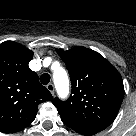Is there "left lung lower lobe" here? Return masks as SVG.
Listing matches in <instances>:
<instances>
[{
  "label": "left lung lower lobe",
  "mask_w": 136,
  "mask_h": 136,
  "mask_svg": "<svg viewBox=\"0 0 136 136\" xmlns=\"http://www.w3.org/2000/svg\"><path fill=\"white\" fill-rule=\"evenodd\" d=\"M105 129V127L102 126H88V127H82V128H74L73 130L76 131L79 134L90 136L94 135L97 132Z\"/></svg>",
  "instance_id": "obj_1"
}]
</instances>
